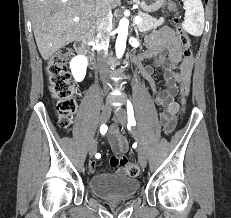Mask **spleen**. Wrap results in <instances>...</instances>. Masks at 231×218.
I'll list each match as a JSON object with an SVG mask.
<instances>
[{"mask_svg": "<svg viewBox=\"0 0 231 218\" xmlns=\"http://www.w3.org/2000/svg\"><path fill=\"white\" fill-rule=\"evenodd\" d=\"M185 18L183 29L193 36H201L204 29V8L201 0H183Z\"/></svg>", "mask_w": 231, "mask_h": 218, "instance_id": "obj_1", "label": "spleen"}]
</instances>
